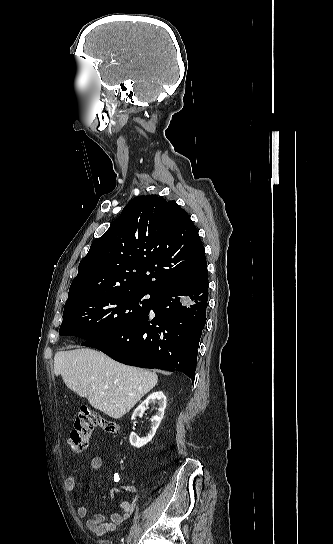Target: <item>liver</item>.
<instances>
[{
  "instance_id": "1",
  "label": "liver",
  "mask_w": 333,
  "mask_h": 544,
  "mask_svg": "<svg viewBox=\"0 0 333 544\" xmlns=\"http://www.w3.org/2000/svg\"><path fill=\"white\" fill-rule=\"evenodd\" d=\"M54 373L70 390L87 397L92 407L114 419L128 413L158 381L154 372L121 364L90 348L57 352Z\"/></svg>"
}]
</instances>
